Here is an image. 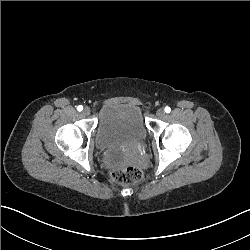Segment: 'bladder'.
I'll list each match as a JSON object with an SVG mask.
<instances>
[{"instance_id":"obj_1","label":"bladder","mask_w":250,"mask_h":250,"mask_svg":"<svg viewBox=\"0 0 250 250\" xmlns=\"http://www.w3.org/2000/svg\"><path fill=\"white\" fill-rule=\"evenodd\" d=\"M93 132L96 149L146 140L147 128L141 109L130 103L112 102L101 107Z\"/></svg>"}]
</instances>
